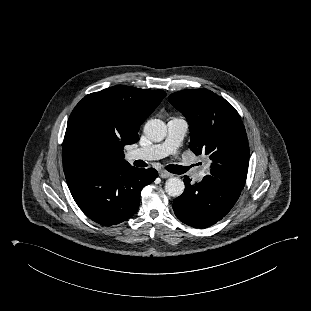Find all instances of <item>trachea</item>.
Instances as JSON below:
<instances>
[{
  "label": "trachea",
  "instance_id": "trachea-1",
  "mask_svg": "<svg viewBox=\"0 0 311 311\" xmlns=\"http://www.w3.org/2000/svg\"><path fill=\"white\" fill-rule=\"evenodd\" d=\"M146 166V164H145ZM143 166V167H145ZM167 171L174 173V174H183L188 170V167H183L179 165H167L166 166Z\"/></svg>",
  "mask_w": 311,
  "mask_h": 311
}]
</instances>
